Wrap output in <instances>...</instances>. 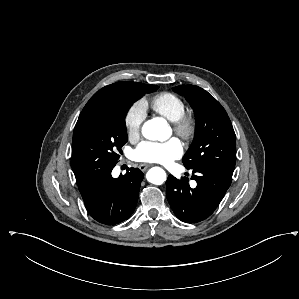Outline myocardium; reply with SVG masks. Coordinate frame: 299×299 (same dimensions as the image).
Masks as SVG:
<instances>
[{
  "label": "myocardium",
  "instance_id": "f54148a6",
  "mask_svg": "<svg viewBox=\"0 0 299 299\" xmlns=\"http://www.w3.org/2000/svg\"><path fill=\"white\" fill-rule=\"evenodd\" d=\"M173 129L181 139L190 141L196 133V119L192 114L185 112L173 122Z\"/></svg>",
  "mask_w": 299,
  "mask_h": 299
}]
</instances>
